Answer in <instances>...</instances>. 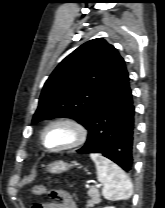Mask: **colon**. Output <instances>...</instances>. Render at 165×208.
<instances>
[{
	"label": "colon",
	"mask_w": 165,
	"mask_h": 208,
	"mask_svg": "<svg viewBox=\"0 0 165 208\" xmlns=\"http://www.w3.org/2000/svg\"><path fill=\"white\" fill-rule=\"evenodd\" d=\"M44 192H45V187L42 185H36L31 189V193L34 196L42 195L44 194ZM40 206H41L40 204H35L32 208H41Z\"/></svg>",
	"instance_id": "colon-1"
}]
</instances>
